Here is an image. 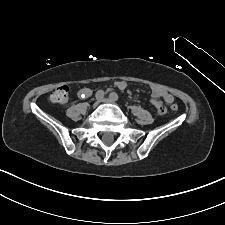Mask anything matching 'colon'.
<instances>
[{"mask_svg": "<svg viewBox=\"0 0 225 225\" xmlns=\"http://www.w3.org/2000/svg\"><path fill=\"white\" fill-rule=\"evenodd\" d=\"M50 99L54 103H65L69 99V87L66 84L59 85L55 88V90L51 93ZM170 109L172 111L178 110V105L173 103L170 105ZM160 115H164L167 112L166 107L160 106L157 109Z\"/></svg>", "mask_w": 225, "mask_h": 225, "instance_id": "5ec220e1", "label": "colon"}]
</instances>
